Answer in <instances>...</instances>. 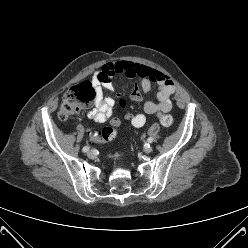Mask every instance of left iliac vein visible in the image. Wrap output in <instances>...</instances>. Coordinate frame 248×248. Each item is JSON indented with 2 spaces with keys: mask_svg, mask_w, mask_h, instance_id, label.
<instances>
[{
  "mask_svg": "<svg viewBox=\"0 0 248 248\" xmlns=\"http://www.w3.org/2000/svg\"><path fill=\"white\" fill-rule=\"evenodd\" d=\"M144 152L147 153V154L151 153L152 152V147H145Z\"/></svg>",
  "mask_w": 248,
  "mask_h": 248,
  "instance_id": "1",
  "label": "left iliac vein"
}]
</instances>
